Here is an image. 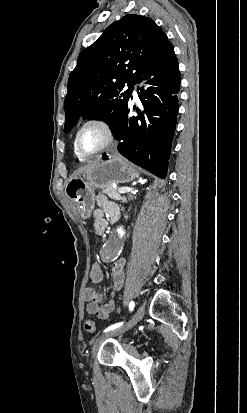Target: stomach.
<instances>
[{"mask_svg": "<svg viewBox=\"0 0 247 413\" xmlns=\"http://www.w3.org/2000/svg\"><path fill=\"white\" fill-rule=\"evenodd\" d=\"M139 172L124 158H108L92 164L86 172L70 178L65 186V194L77 202L82 219H89L95 200V188L112 186L113 182H130Z\"/></svg>", "mask_w": 247, "mask_h": 413, "instance_id": "0dacf381", "label": "stomach"}]
</instances>
